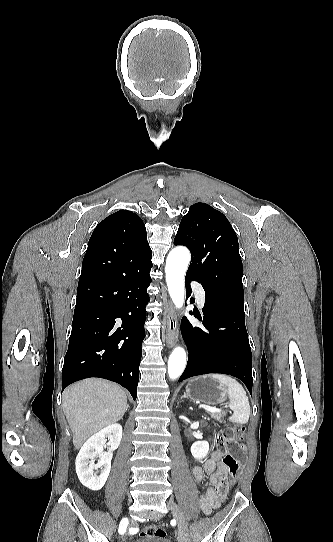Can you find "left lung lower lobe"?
<instances>
[{"label": "left lung lower lobe", "mask_w": 333, "mask_h": 542, "mask_svg": "<svg viewBox=\"0 0 333 542\" xmlns=\"http://www.w3.org/2000/svg\"><path fill=\"white\" fill-rule=\"evenodd\" d=\"M192 280L197 281L186 275L187 299L192 293ZM189 313L201 320L199 313ZM203 314L204 329L192 326L185 317L181 321L189 356L179 382L207 373L229 374L240 379L252 395V353L245 327L244 300L205 292Z\"/></svg>", "instance_id": "left-lung-lower-lobe-1"}]
</instances>
